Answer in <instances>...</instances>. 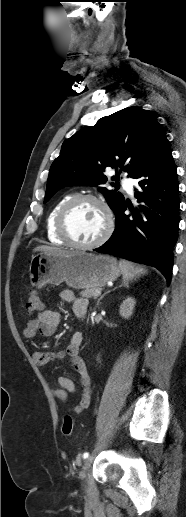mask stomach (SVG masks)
<instances>
[{
  "mask_svg": "<svg viewBox=\"0 0 186 517\" xmlns=\"http://www.w3.org/2000/svg\"><path fill=\"white\" fill-rule=\"evenodd\" d=\"M121 269L115 258L76 251L68 256L40 253L32 256L30 280L35 287L65 282L74 289L103 287L116 280Z\"/></svg>",
  "mask_w": 186,
  "mask_h": 517,
  "instance_id": "1",
  "label": "stomach"
}]
</instances>
